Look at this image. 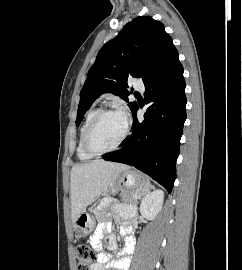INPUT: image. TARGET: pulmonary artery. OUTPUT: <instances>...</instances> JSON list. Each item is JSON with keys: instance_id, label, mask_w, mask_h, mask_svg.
Instances as JSON below:
<instances>
[{"instance_id": "obj_1", "label": "pulmonary artery", "mask_w": 242, "mask_h": 270, "mask_svg": "<svg viewBox=\"0 0 242 270\" xmlns=\"http://www.w3.org/2000/svg\"><path fill=\"white\" fill-rule=\"evenodd\" d=\"M133 87L138 91H143L144 90V83L139 80V81L134 83Z\"/></svg>"}]
</instances>
